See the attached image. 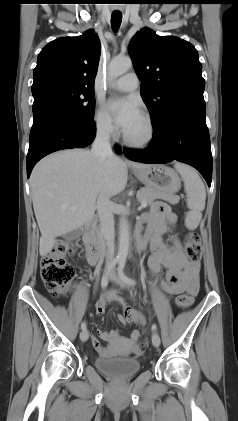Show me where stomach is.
<instances>
[{
	"label": "stomach",
	"mask_w": 238,
	"mask_h": 421,
	"mask_svg": "<svg viewBox=\"0 0 238 421\" xmlns=\"http://www.w3.org/2000/svg\"><path fill=\"white\" fill-rule=\"evenodd\" d=\"M135 176L148 188L173 195L181 188V179L170 167L162 164L148 165L134 170Z\"/></svg>",
	"instance_id": "1"
}]
</instances>
